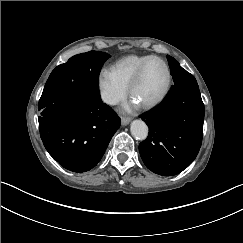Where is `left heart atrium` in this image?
<instances>
[{"label":"left heart atrium","mask_w":243,"mask_h":243,"mask_svg":"<svg viewBox=\"0 0 243 243\" xmlns=\"http://www.w3.org/2000/svg\"><path fill=\"white\" fill-rule=\"evenodd\" d=\"M141 106V103L131 96L130 99L123 105V108L128 112H133L138 110Z\"/></svg>","instance_id":"39dd6f15"}]
</instances>
